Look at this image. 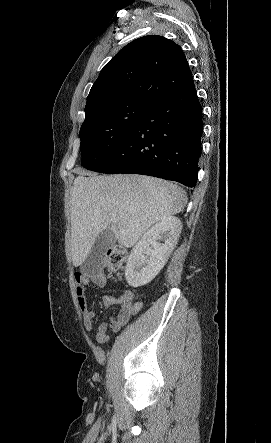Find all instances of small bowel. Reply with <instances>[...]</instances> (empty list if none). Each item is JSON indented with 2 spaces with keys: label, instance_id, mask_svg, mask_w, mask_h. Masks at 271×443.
<instances>
[{
  "label": "small bowel",
  "instance_id": "obj_1",
  "mask_svg": "<svg viewBox=\"0 0 271 443\" xmlns=\"http://www.w3.org/2000/svg\"><path fill=\"white\" fill-rule=\"evenodd\" d=\"M75 290L79 309L83 316L84 327L87 331H91L95 326L96 311L91 309L87 304L85 288L88 286L104 287L107 278L102 271L87 273H75ZM103 304L106 308L120 306L119 313L112 317L108 322H102L97 327L96 340L99 343H107L109 336L106 332L109 326L113 331H119L128 321L136 315L142 308L140 302L133 301V292L130 289H124L120 296H104Z\"/></svg>",
  "mask_w": 271,
  "mask_h": 443
}]
</instances>
